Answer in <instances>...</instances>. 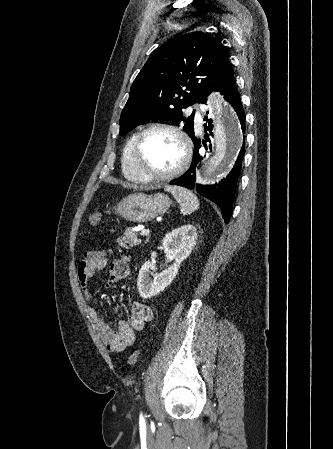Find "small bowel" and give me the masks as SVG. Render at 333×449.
<instances>
[{
	"label": "small bowel",
	"instance_id": "small-bowel-1",
	"mask_svg": "<svg viewBox=\"0 0 333 449\" xmlns=\"http://www.w3.org/2000/svg\"><path fill=\"white\" fill-rule=\"evenodd\" d=\"M107 265L105 251L87 252L80 261L77 269L83 297L87 303V312L97 334L105 346L114 352H122L132 346L136 340L137 332L141 331L145 324L152 320L153 310L149 305L134 302L128 320L121 319L116 328L107 325L93 306V293L90 287V279ZM128 274V261L121 258L114 260L108 271L105 287L111 288Z\"/></svg>",
	"mask_w": 333,
	"mask_h": 449
}]
</instances>
